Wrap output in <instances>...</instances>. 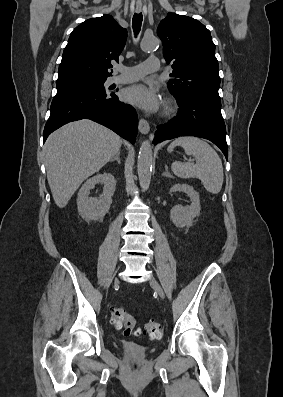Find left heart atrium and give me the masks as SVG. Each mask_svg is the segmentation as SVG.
Segmentation results:
<instances>
[{"mask_svg": "<svg viewBox=\"0 0 283 397\" xmlns=\"http://www.w3.org/2000/svg\"><path fill=\"white\" fill-rule=\"evenodd\" d=\"M122 99L146 112H156L160 106V99L154 89L144 84H134L122 93Z\"/></svg>", "mask_w": 283, "mask_h": 397, "instance_id": "obj_1", "label": "left heart atrium"}]
</instances>
